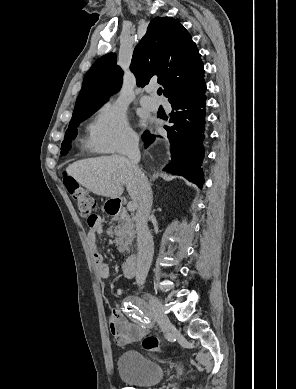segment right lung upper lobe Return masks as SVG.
Here are the masks:
<instances>
[{
    "label": "right lung upper lobe",
    "instance_id": "obj_1",
    "mask_svg": "<svg viewBox=\"0 0 296 389\" xmlns=\"http://www.w3.org/2000/svg\"><path fill=\"white\" fill-rule=\"evenodd\" d=\"M130 69L138 86L144 87L156 79L164 87L168 100L176 92L192 91L206 84L196 44L188 31L171 17L151 20L134 50ZM122 76L114 53L96 60L84 77L73 114L102 106L121 88Z\"/></svg>",
    "mask_w": 296,
    "mask_h": 389
}]
</instances>
